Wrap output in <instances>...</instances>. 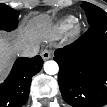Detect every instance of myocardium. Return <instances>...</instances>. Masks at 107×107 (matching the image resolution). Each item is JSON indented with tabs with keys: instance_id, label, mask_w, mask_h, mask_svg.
Here are the masks:
<instances>
[{
	"instance_id": "1",
	"label": "myocardium",
	"mask_w": 107,
	"mask_h": 107,
	"mask_svg": "<svg viewBox=\"0 0 107 107\" xmlns=\"http://www.w3.org/2000/svg\"><path fill=\"white\" fill-rule=\"evenodd\" d=\"M81 26L77 22H74L70 27V35L77 36L80 33Z\"/></svg>"
}]
</instances>
